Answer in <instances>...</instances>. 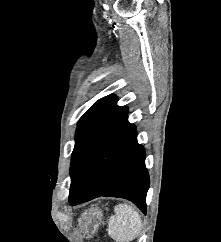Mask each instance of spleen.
Returning a JSON list of instances; mask_svg holds the SVG:
<instances>
[{
	"label": "spleen",
	"mask_w": 221,
	"mask_h": 242,
	"mask_svg": "<svg viewBox=\"0 0 221 242\" xmlns=\"http://www.w3.org/2000/svg\"><path fill=\"white\" fill-rule=\"evenodd\" d=\"M115 215L110 217L108 234L117 242H129L140 234L142 230L141 217L136 209L126 203L114 207Z\"/></svg>",
	"instance_id": "spleen-1"
}]
</instances>
